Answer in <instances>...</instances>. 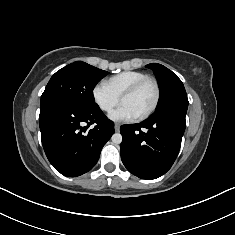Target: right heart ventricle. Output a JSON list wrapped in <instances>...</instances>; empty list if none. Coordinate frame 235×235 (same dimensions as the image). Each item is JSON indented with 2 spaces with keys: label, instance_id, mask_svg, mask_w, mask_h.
<instances>
[{
  "label": "right heart ventricle",
  "instance_id": "obj_1",
  "mask_svg": "<svg viewBox=\"0 0 235 235\" xmlns=\"http://www.w3.org/2000/svg\"><path fill=\"white\" fill-rule=\"evenodd\" d=\"M147 77V74L139 71H125L110 77L106 81V84L118 97H120L129 87Z\"/></svg>",
  "mask_w": 235,
  "mask_h": 235
}]
</instances>
